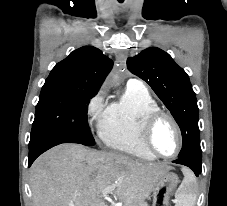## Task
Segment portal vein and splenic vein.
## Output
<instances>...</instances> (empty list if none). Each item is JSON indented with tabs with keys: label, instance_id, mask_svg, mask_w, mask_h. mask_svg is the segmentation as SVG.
Listing matches in <instances>:
<instances>
[{
	"label": "portal vein and splenic vein",
	"instance_id": "1",
	"mask_svg": "<svg viewBox=\"0 0 227 206\" xmlns=\"http://www.w3.org/2000/svg\"><path fill=\"white\" fill-rule=\"evenodd\" d=\"M114 189H115V186L113 185V186H110V187L106 188L103 192L107 193V192H110V191H112ZM69 206H74V204L71 203V204H69Z\"/></svg>",
	"mask_w": 227,
	"mask_h": 206
}]
</instances>
